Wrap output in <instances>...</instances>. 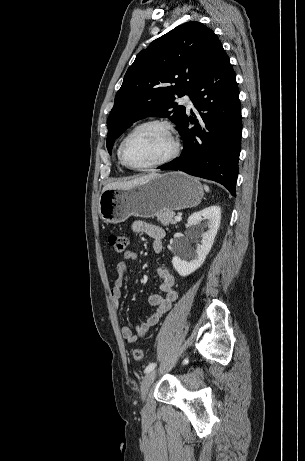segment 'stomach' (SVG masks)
Listing matches in <instances>:
<instances>
[{
	"label": "stomach",
	"instance_id": "1",
	"mask_svg": "<svg viewBox=\"0 0 305 461\" xmlns=\"http://www.w3.org/2000/svg\"><path fill=\"white\" fill-rule=\"evenodd\" d=\"M199 181L183 172H168L127 189H109L99 197V214L108 223L130 216L150 218L163 211L197 206L203 197Z\"/></svg>",
	"mask_w": 305,
	"mask_h": 461
}]
</instances>
